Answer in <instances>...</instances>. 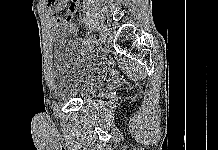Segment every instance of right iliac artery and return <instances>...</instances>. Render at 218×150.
Wrapping results in <instances>:
<instances>
[{
  "instance_id": "obj_1",
  "label": "right iliac artery",
  "mask_w": 218,
  "mask_h": 150,
  "mask_svg": "<svg viewBox=\"0 0 218 150\" xmlns=\"http://www.w3.org/2000/svg\"><path fill=\"white\" fill-rule=\"evenodd\" d=\"M91 42L93 43L96 42L95 37L93 35L90 37V39H88V43H91ZM87 47L90 49L92 46L89 44ZM83 53L86 55L88 52L85 50Z\"/></svg>"
}]
</instances>
